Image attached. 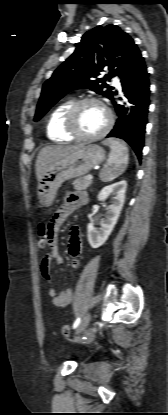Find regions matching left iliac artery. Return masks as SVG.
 <instances>
[{
  "label": "left iliac artery",
  "instance_id": "obj_1",
  "mask_svg": "<svg viewBox=\"0 0 168 415\" xmlns=\"http://www.w3.org/2000/svg\"><path fill=\"white\" fill-rule=\"evenodd\" d=\"M80 322H81V318H80V317H78V318L75 320L74 324H73V329L77 328V327H78V325L80 324Z\"/></svg>",
  "mask_w": 168,
  "mask_h": 415
}]
</instances>
